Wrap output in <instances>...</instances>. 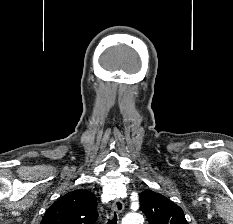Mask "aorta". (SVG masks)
<instances>
[{
  "label": "aorta",
  "mask_w": 233,
  "mask_h": 224,
  "mask_svg": "<svg viewBox=\"0 0 233 224\" xmlns=\"http://www.w3.org/2000/svg\"><path fill=\"white\" fill-rule=\"evenodd\" d=\"M143 222V217L138 213H129L122 220V224H143Z\"/></svg>",
  "instance_id": "762f6f07"
}]
</instances>
